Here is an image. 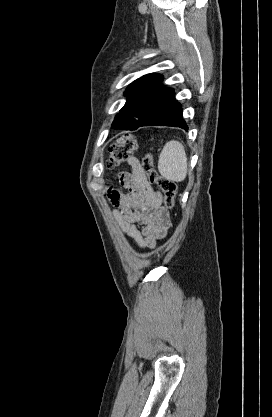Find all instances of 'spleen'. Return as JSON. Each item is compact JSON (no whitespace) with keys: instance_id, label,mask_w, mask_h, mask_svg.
Instances as JSON below:
<instances>
[{"instance_id":"spleen-1","label":"spleen","mask_w":272,"mask_h":417,"mask_svg":"<svg viewBox=\"0 0 272 417\" xmlns=\"http://www.w3.org/2000/svg\"><path fill=\"white\" fill-rule=\"evenodd\" d=\"M158 170L167 180L181 182L187 175V156L181 142L172 140L160 153Z\"/></svg>"}]
</instances>
